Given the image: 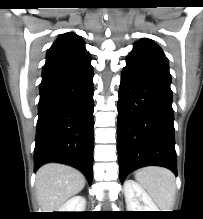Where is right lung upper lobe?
<instances>
[{
  "label": "right lung upper lobe",
  "mask_w": 203,
  "mask_h": 219,
  "mask_svg": "<svg viewBox=\"0 0 203 219\" xmlns=\"http://www.w3.org/2000/svg\"><path fill=\"white\" fill-rule=\"evenodd\" d=\"M91 59L85 49L84 41L75 33L69 32L59 36L47 52L44 67L78 63Z\"/></svg>",
  "instance_id": "obj_1"
}]
</instances>
